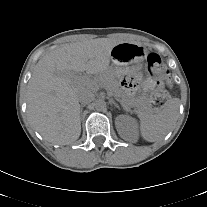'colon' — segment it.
<instances>
[{"instance_id": "1", "label": "colon", "mask_w": 207, "mask_h": 207, "mask_svg": "<svg viewBox=\"0 0 207 207\" xmlns=\"http://www.w3.org/2000/svg\"><path fill=\"white\" fill-rule=\"evenodd\" d=\"M147 63L150 77L156 84V89L151 96V102L156 110H162L169 102V95L166 89L169 84L167 79L169 70L157 53H150L147 56Z\"/></svg>"}]
</instances>
